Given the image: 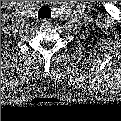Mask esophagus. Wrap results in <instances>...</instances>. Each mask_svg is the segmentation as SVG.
I'll use <instances>...</instances> for the list:
<instances>
[{
    "label": "esophagus",
    "mask_w": 121,
    "mask_h": 121,
    "mask_svg": "<svg viewBox=\"0 0 121 121\" xmlns=\"http://www.w3.org/2000/svg\"><path fill=\"white\" fill-rule=\"evenodd\" d=\"M50 21L48 20V19H43L42 20V25H44V26H50Z\"/></svg>",
    "instance_id": "34e87169"
}]
</instances>
